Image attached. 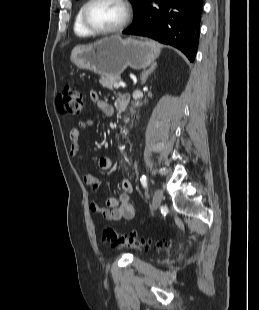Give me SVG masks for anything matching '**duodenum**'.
Instances as JSON below:
<instances>
[{"label": "duodenum", "instance_id": "410a0bca", "mask_svg": "<svg viewBox=\"0 0 259 310\" xmlns=\"http://www.w3.org/2000/svg\"><path fill=\"white\" fill-rule=\"evenodd\" d=\"M130 97L127 95H124L119 98L118 104H117V109L119 112H124L128 106Z\"/></svg>", "mask_w": 259, "mask_h": 310}]
</instances>
